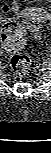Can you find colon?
Here are the masks:
<instances>
[{"instance_id": "obj_1", "label": "colon", "mask_w": 51, "mask_h": 153, "mask_svg": "<svg viewBox=\"0 0 51 153\" xmlns=\"http://www.w3.org/2000/svg\"><path fill=\"white\" fill-rule=\"evenodd\" d=\"M30 15L42 18L41 12L30 11ZM28 31L36 32L38 39L41 37L38 24L15 20H8L2 24L1 42L4 49L13 54L10 64L13 72L18 76H25L30 70V59L21 52Z\"/></svg>"}]
</instances>
